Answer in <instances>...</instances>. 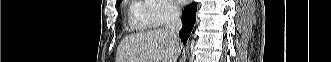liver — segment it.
Segmentation results:
<instances>
[{
  "instance_id": "obj_1",
  "label": "liver",
  "mask_w": 331,
  "mask_h": 62,
  "mask_svg": "<svg viewBox=\"0 0 331 62\" xmlns=\"http://www.w3.org/2000/svg\"><path fill=\"white\" fill-rule=\"evenodd\" d=\"M181 47L165 29L138 32L120 42L115 62H176Z\"/></svg>"
}]
</instances>
